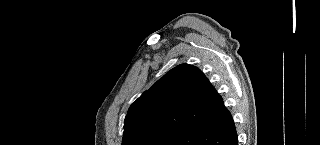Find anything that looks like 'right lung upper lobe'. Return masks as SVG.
Returning <instances> with one entry per match:
<instances>
[{"instance_id":"obj_1","label":"right lung upper lobe","mask_w":320,"mask_h":145,"mask_svg":"<svg viewBox=\"0 0 320 145\" xmlns=\"http://www.w3.org/2000/svg\"><path fill=\"white\" fill-rule=\"evenodd\" d=\"M223 100L195 66L181 64L160 78L129 108L122 145L168 130L181 131L213 117Z\"/></svg>"}]
</instances>
